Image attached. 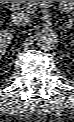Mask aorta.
Instances as JSON below:
<instances>
[{"instance_id": "aorta-1", "label": "aorta", "mask_w": 74, "mask_h": 122, "mask_svg": "<svg viewBox=\"0 0 74 122\" xmlns=\"http://www.w3.org/2000/svg\"><path fill=\"white\" fill-rule=\"evenodd\" d=\"M58 43L56 34L50 30H41L37 33V45L43 51L53 49Z\"/></svg>"}]
</instances>
